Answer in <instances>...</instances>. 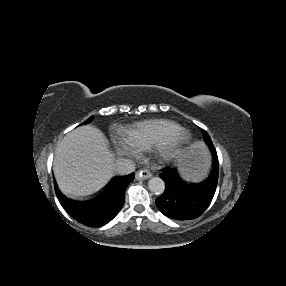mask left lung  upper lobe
<instances>
[{
    "label": "left lung upper lobe",
    "mask_w": 286,
    "mask_h": 286,
    "mask_svg": "<svg viewBox=\"0 0 286 286\" xmlns=\"http://www.w3.org/2000/svg\"><path fill=\"white\" fill-rule=\"evenodd\" d=\"M202 133H203L204 141L209 145L210 148H214L212 141H211V138L208 135V133L204 130H202Z\"/></svg>",
    "instance_id": "obj_1"
}]
</instances>
